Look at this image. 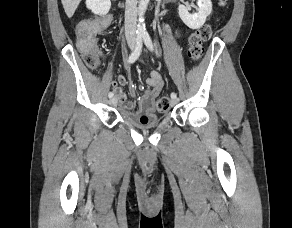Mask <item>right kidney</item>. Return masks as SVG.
Returning <instances> with one entry per match:
<instances>
[{
	"label": "right kidney",
	"instance_id": "ca27d5eb",
	"mask_svg": "<svg viewBox=\"0 0 292 228\" xmlns=\"http://www.w3.org/2000/svg\"><path fill=\"white\" fill-rule=\"evenodd\" d=\"M86 6L94 14L106 15L111 8L110 0H86Z\"/></svg>",
	"mask_w": 292,
	"mask_h": 228
}]
</instances>
